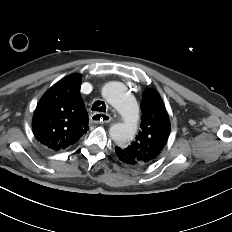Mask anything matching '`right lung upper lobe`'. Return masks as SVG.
<instances>
[{
  "mask_svg": "<svg viewBox=\"0 0 232 232\" xmlns=\"http://www.w3.org/2000/svg\"><path fill=\"white\" fill-rule=\"evenodd\" d=\"M81 75L71 74L44 93L34 111L35 138L54 151L76 143L88 127V115L80 96Z\"/></svg>",
  "mask_w": 232,
  "mask_h": 232,
  "instance_id": "1",
  "label": "right lung upper lobe"
}]
</instances>
